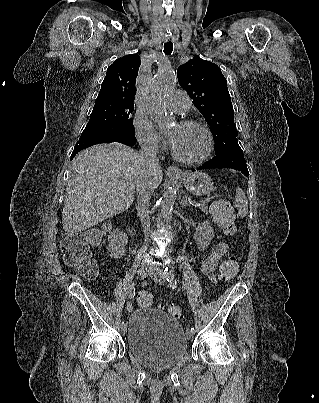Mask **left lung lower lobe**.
Listing matches in <instances>:
<instances>
[{
	"label": "left lung lower lobe",
	"instance_id": "obj_1",
	"mask_svg": "<svg viewBox=\"0 0 319 403\" xmlns=\"http://www.w3.org/2000/svg\"><path fill=\"white\" fill-rule=\"evenodd\" d=\"M204 168H231L241 171V173H243L247 177L249 174L246 161L241 149H230L224 154L216 155L210 161L204 163L202 166L197 168V170H201Z\"/></svg>",
	"mask_w": 319,
	"mask_h": 403
}]
</instances>
